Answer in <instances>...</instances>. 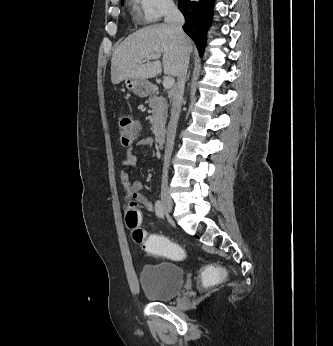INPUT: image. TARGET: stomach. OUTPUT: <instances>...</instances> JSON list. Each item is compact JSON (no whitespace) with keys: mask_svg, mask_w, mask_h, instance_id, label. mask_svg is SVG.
Segmentation results:
<instances>
[{"mask_svg":"<svg viewBox=\"0 0 333 346\" xmlns=\"http://www.w3.org/2000/svg\"><path fill=\"white\" fill-rule=\"evenodd\" d=\"M127 89L139 97H147L151 92V83L147 80L137 78L125 79Z\"/></svg>","mask_w":333,"mask_h":346,"instance_id":"stomach-1","label":"stomach"}]
</instances>
